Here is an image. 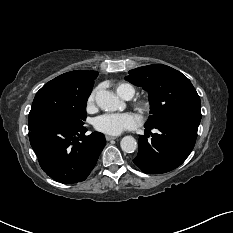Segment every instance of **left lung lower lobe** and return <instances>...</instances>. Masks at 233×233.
<instances>
[{"label": "left lung lower lobe", "mask_w": 233, "mask_h": 233, "mask_svg": "<svg viewBox=\"0 0 233 233\" xmlns=\"http://www.w3.org/2000/svg\"><path fill=\"white\" fill-rule=\"evenodd\" d=\"M201 118L177 116L145 125L139 138L138 155L133 162L147 174H160L180 166L191 153ZM151 129L158 133L152 134ZM151 134V139H148Z\"/></svg>", "instance_id": "left-lung-lower-lobe-1"}]
</instances>
